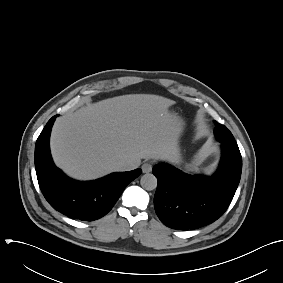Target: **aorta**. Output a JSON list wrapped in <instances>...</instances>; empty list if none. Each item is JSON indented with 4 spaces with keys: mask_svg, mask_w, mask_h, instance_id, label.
Listing matches in <instances>:
<instances>
[{
    "mask_svg": "<svg viewBox=\"0 0 283 283\" xmlns=\"http://www.w3.org/2000/svg\"><path fill=\"white\" fill-rule=\"evenodd\" d=\"M140 184L145 190H154L157 187V178L151 173L144 174L141 177Z\"/></svg>",
    "mask_w": 283,
    "mask_h": 283,
    "instance_id": "1",
    "label": "aorta"
}]
</instances>
